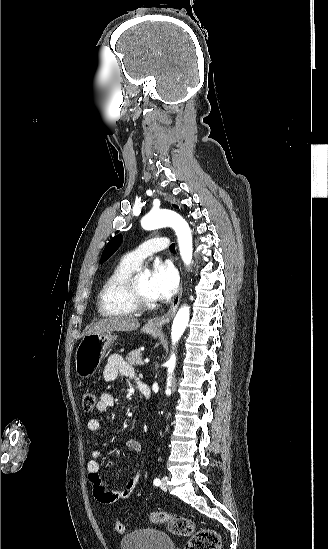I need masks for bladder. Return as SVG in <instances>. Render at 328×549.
<instances>
[{
  "label": "bladder",
  "mask_w": 328,
  "mask_h": 549,
  "mask_svg": "<svg viewBox=\"0 0 328 549\" xmlns=\"http://www.w3.org/2000/svg\"><path fill=\"white\" fill-rule=\"evenodd\" d=\"M121 549H174L168 534L156 528H142L122 536Z\"/></svg>",
  "instance_id": "obj_1"
}]
</instances>
